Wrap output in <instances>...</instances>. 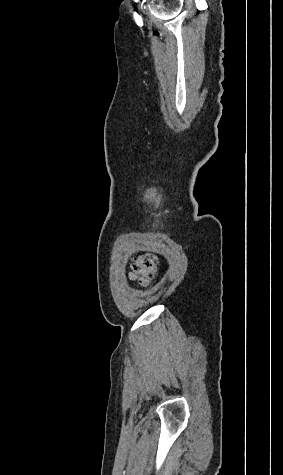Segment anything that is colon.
I'll return each mask as SVG.
<instances>
[{
    "mask_svg": "<svg viewBox=\"0 0 283 475\" xmlns=\"http://www.w3.org/2000/svg\"><path fill=\"white\" fill-rule=\"evenodd\" d=\"M156 261V256L150 251L136 256L129 274L130 279L139 285H145L154 275Z\"/></svg>",
    "mask_w": 283,
    "mask_h": 475,
    "instance_id": "obj_1",
    "label": "colon"
}]
</instances>
